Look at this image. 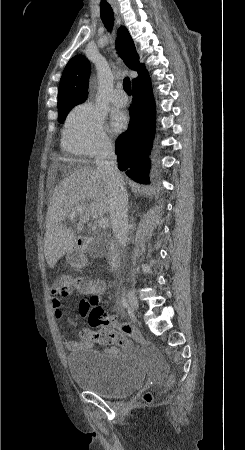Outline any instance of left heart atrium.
<instances>
[{"mask_svg":"<svg viewBox=\"0 0 245 450\" xmlns=\"http://www.w3.org/2000/svg\"><path fill=\"white\" fill-rule=\"evenodd\" d=\"M128 123V118L124 113H115L112 119V130L114 132H120Z\"/></svg>","mask_w":245,"mask_h":450,"instance_id":"left-heart-atrium-1","label":"left heart atrium"}]
</instances>
